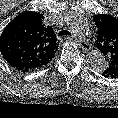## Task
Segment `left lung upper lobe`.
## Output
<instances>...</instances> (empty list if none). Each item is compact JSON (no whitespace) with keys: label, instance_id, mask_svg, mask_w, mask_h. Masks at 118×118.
I'll return each instance as SVG.
<instances>
[{"label":"left lung upper lobe","instance_id":"obj_1","mask_svg":"<svg viewBox=\"0 0 118 118\" xmlns=\"http://www.w3.org/2000/svg\"><path fill=\"white\" fill-rule=\"evenodd\" d=\"M98 28L97 47L107 60V67L102 75L105 77H118V19L99 14L93 16Z\"/></svg>","mask_w":118,"mask_h":118}]
</instances>
